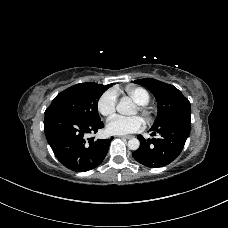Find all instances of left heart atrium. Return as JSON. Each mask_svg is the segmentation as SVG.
<instances>
[{"mask_svg":"<svg viewBox=\"0 0 228 228\" xmlns=\"http://www.w3.org/2000/svg\"><path fill=\"white\" fill-rule=\"evenodd\" d=\"M144 123L138 116L123 117L114 115L107 121L106 129L109 133L115 135H125L142 130Z\"/></svg>","mask_w":228,"mask_h":228,"instance_id":"1","label":"left heart atrium"}]
</instances>
